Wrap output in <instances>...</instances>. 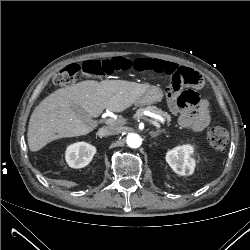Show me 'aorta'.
Wrapping results in <instances>:
<instances>
[{"mask_svg": "<svg viewBox=\"0 0 250 250\" xmlns=\"http://www.w3.org/2000/svg\"><path fill=\"white\" fill-rule=\"evenodd\" d=\"M142 143V139L138 134L130 133L127 135V145L131 148H138Z\"/></svg>", "mask_w": 250, "mask_h": 250, "instance_id": "1", "label": "aorta"}]
</instances>
